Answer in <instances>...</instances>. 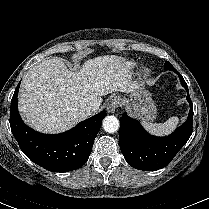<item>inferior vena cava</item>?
I'll return each mask as SVG.
<instances>
[{"mask_svg": "<svg viewBox=\"0 0 209 209\" xmlns=\"http://www.w3.org/2000/svg\"><path fill=\"white\" fill-rule=\"evenodd\" d=\"M97 107L95 106H87L85 109H84V112L86 113V115L90 116L92 114H94L95 112H97Z\"/></svg>", "mask_w": 209, "mask_h": 209, "instance_id": "inferior-vena-cava-1", "label": "inferior vena cava"}]
</instances>
